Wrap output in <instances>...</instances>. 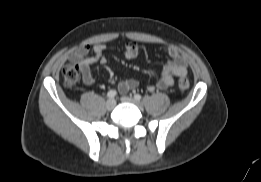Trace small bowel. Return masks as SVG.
Masks as SVG:
<instances>
[{"label":"small bowel","mask_w":261,"mask_h":182,"mask_svg":"<svg viewBox=\"0 0 261 182\" xmlns=\"http://www.w3.org/2000/svg\"><path fill=\"white\" fill-rule=\"evenodd\" d=\"M106 46L104 44H95L93 46L84 45L73 52L69 60L79 66L82 73L83 83L90 86L94 83V78L91 74V65L94 63L105 64L107 59L104 55ZM92 51V55H89ZM140 47L136 42H128L125 46L124 55L127 59L132 60L139 54ZM169 60L165 63L160 79L156 85H149L147 90L152 92L156 88L165 89L174 84V77H184L187 75V59L175 47H167L165 50ZM139 83L135 79H126L118 83V90L121 93L138 87Z\"/></svg>","instance_id":"c3829d8e"}]
</instances>
